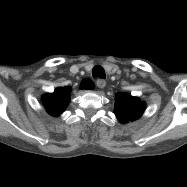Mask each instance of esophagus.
Listing matches in <instances>:
<instances>
[{
	"mask_svg": "<svg viewBox=\"0 0 187 187\" xmlns=\"http://www.w3.org/2000/svg\"><path fill=\"white\" fill-rule=\"evenodd\" d=\"M96 86L102 89L106 86V81L104 79L99 78L96 80Z\"/></svg>",
	"mask_w": 187,
	"mask_h": 187,
	"instance_id": "1",
	"label": "esophagus"
}]
</instances>
